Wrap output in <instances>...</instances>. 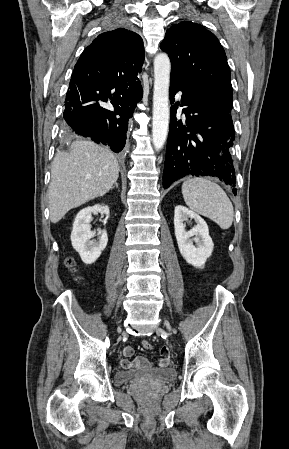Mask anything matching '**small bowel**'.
<instances>
[{
    "label": "small bowel",
    "mask_w": 289,
    "mask_h": 449,
    "mask_svg": "<svg viewBox=\"0 0 289 449\" xmlns=\"http://www.w3.org/2000/svg\"><path fill=\"white\" fill-rule=\"evenodd\" d=\"M134 354V349L130 346H126L123 349V355L124 358L120 360V366L123 369H131V368H136V369H147L152 367V363L145 357L143 356H138L136 358H134L133 360H130V357H132ZM159 360H158V366L161 367L162 369H169L171 366L170 363V349L167 346H163L160 349V353H159Z\"/></svg>",
    "instance_id": "obj_1"
}]
</instances>
